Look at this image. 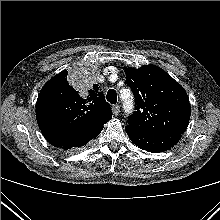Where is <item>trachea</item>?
Wrapping results in <instances>:
<instances>
[{"label":"trachea","instance_id":"3493384b","mask_svg":"<svg viewBox=\"0 0 220 220\" xmlns=\"http://www.w3.org/2000/svg\"><path fill=\"white\" fill-rule=\"evenodd\" d=\"M106 99L111 104H116L117 102V93L114 89H109L106 95Z\"/></svg>","mask_w":220,"mask_h":220}]
</instances>
